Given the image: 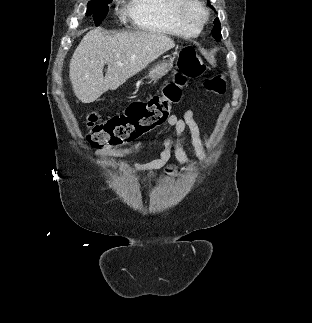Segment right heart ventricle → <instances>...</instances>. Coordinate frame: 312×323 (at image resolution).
Masks as SVG:
<instances>
[{"label":"right heart ventricle","instance_id":"right-heart-ventricle-1","mask_svg":"<svg viewBox=\"0 0 312 323\" xmlns=\"http://www.w3.org/2000/svg\"><path fill=\"white\" fill-rule=\"evenodd\" d=\"M127 20L135 29H151L152 33H195L197 24L185 18L182 1L131 0Z\"/></svg>","mask_w":312,"mask_h":323}]
</instances>
